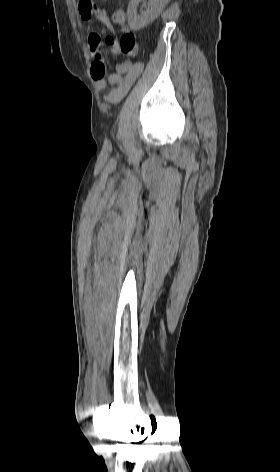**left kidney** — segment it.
I'll use <instances>...</instances> for the list:
<instances>
[{
    "label": "left kidney",
    "instance_id": "1",
    "mask_svg": "<svg viewBox=\"0 0 280 472\" xmlns=\"http://www.w3.org/2000/svg\"><path fill=\"white\" fill-rule=\"evenodd\" d=\"M141 0H131L128 9V24L133 30H140L145 25L152 22L161 12L167 0H149L148 10L141 15H137V6Z\"/></svg>",
    "mask_w": 280,
    "mask_h": 472
}]
</instances>
